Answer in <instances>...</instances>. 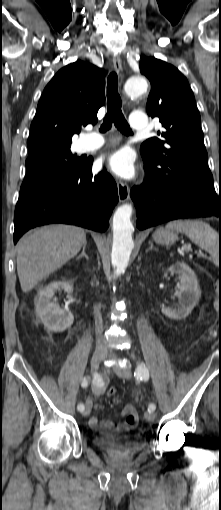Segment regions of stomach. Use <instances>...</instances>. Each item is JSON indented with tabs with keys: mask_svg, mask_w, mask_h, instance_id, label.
I'll list each match as a JSON object with an SVG mask.
<instances>
[{
	"mask_svg": "<svg viewBox=\"0 0 221 510\" xmlns=\"http://www.w3.org/2000/svg\"><path fill=\"white\" fill-rule=\"evenodd\" d=\"M152 237L156 243H159L162 245H171L178 239V235L175 233L174 230L163 228V227L158 228L153 233Z\"/></svg>",
	"mask_w": 221,
	"mask_h": 510,
	"instance_id": "obj_1",
	"label": "stomach"
}]
</instances>
